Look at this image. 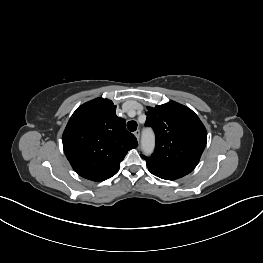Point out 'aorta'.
Here are the masks:
<instances>
[{
  "label": "aorta",
  "mask_w": 263,
  "mask_h": 263,
  "mask_svg": "<svg viewBox=\"0 0 263 263\" xmlns=\"http://www.w3.org/2000/svg\"><path fill=\"white\" fill-rule=\"evenodd\" d=\"M142 148L146 153H150L154 148V137L152 134H146L142 139Z\"/></svg>",
  "instance_id": "aorta-1"
}]
</instances>
